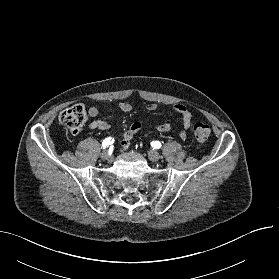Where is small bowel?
<instances>
[{"instance_id": "obj_1", "label": "small bowel", "mask_w": 279, "mask_h": 279, "mask_svg": "<svg viewBox=\"0 0 279 279\" xmlns=\"http://www.w3.org/2000/svg\"><path fill=\"white\" fill-rule=\"evenodd\" d=\"M119 110L123 114H127L132 110V106L127 102H120L118 104ZM148 111H157L160 107L157 104H148ZM173 111L181 118L182 126L179 130V137L182 140L187 138V131L191 128L194 115L192 111L184 104L177 103L172 106ZM90 117L95 118L99 114V110L96 107H90L88 110ZM143 123L141 121H135L130 128L124 132L121 139V150H126L133 138L140 132L142 129ZM88 127L92 130L108 131L110 129L109 123L103 120H93L88 124ZM172 128V125L169 121L163 122L156 126V129L161 133L169 132Z\"/></svg>"}]
</instances>
